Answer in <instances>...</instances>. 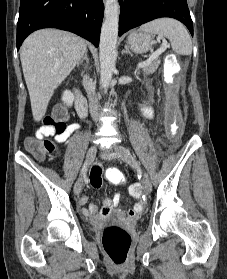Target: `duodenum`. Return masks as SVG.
Segmentation results:
<instances>
[{"label":"duodenum","instance_id":"obj_1","mask_svg":"<svg viewBox=\"0 0 227 279\" xmlns=\"http://www.w3.org/2000/svg\"><path fill=\"white\" fill-rule=\"evenodd\" d=\"M73 93H74V104H75L76 111L81 118H85L87 115V108H88L87 99L82 94L80 89L77 87L74 88Z\"/></svg>","mask_w":227,"mask_h":279}]
</instances>
